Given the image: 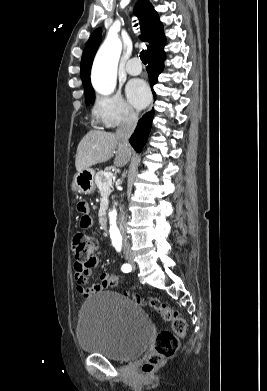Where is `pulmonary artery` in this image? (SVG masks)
<instances>
[{
	"label": "pulmonary artery",
	"mask_w": 267,
	"mask_h": 391,
	"mask_svg": "<svg viewBox=\"0 0 267 391\" xmlns=\"http://www.w3.org/2000/svg\"><path fill=\"white\" fill-rule=\"evenodd\" d=\"M126 71L130 75H139L142 71L140 59L137 57L131 58L126 64Z\"/></svg>",
	"instance_id": "obj_1"
}]
</instances>
